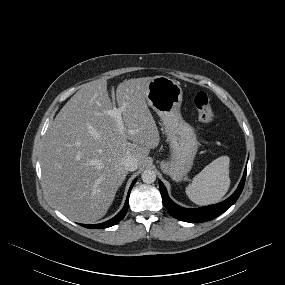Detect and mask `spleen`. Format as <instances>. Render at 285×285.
Listing matches in <instances>:
<instances>
[{
    "instance_id": "1",
    "label": "spleen",
    "mask_w": 285,
    "mask_h": 285,
    "mask_svg": "<svg viewBox=\"0 0 285 285\" xmlns=\"http://www.w3.org/2000/svg\"><path fill=\"white\" fill-rule=\"evenodd\" d=\"M228 156H221L208 164L186 187L189 199L198 205L219 202L230 187Z\"/></svg>"
}]
</instances>
